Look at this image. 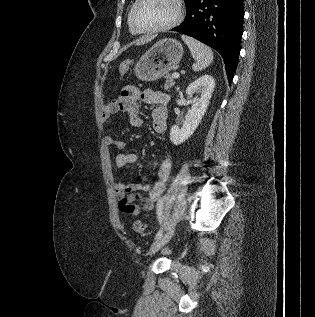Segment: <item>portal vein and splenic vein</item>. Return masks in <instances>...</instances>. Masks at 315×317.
<instances>
[{
    "label": "portal vein and splenic vein",
    "mask_w": 315,
    "mask_h": 317,
    "mask_svg": "<svg viewBox=\"0 0 315 317\" xmlns=\"http://www.w3.org/2000/svg\"><path fill=\"white\" fill-rule=\"evenodd\" d=\"M179 76H180V74H179L178 72H174V73L172 74V77H173V78H179Z\"/></svg>",
    "instance_id": "18ae733b"
}]
</instances>
